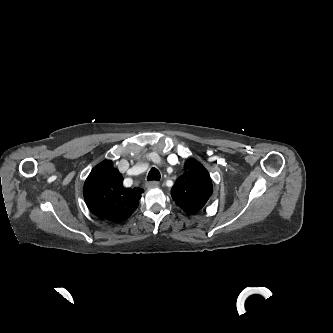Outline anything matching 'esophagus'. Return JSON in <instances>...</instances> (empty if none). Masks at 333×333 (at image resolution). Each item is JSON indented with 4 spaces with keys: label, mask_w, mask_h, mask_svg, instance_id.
I'll return each instance as SVG.
<instances>
[{
    "label": "esophagus",
    "mask_w": 333,
    "mask_h": 333,
    "mask_svg": "<svg viewBox=\"0 0 333 333\" xmlns=\"http://www.w3.org/2000/svg\"><path fill=\"white\" fill-rule=\"evenodd\" d=\"M158 185H159L158 181H150V182H147L146 187L152 188V187H157Z\"/></svg>",
    "instance_id": "obj_1"
}]
</instances>
